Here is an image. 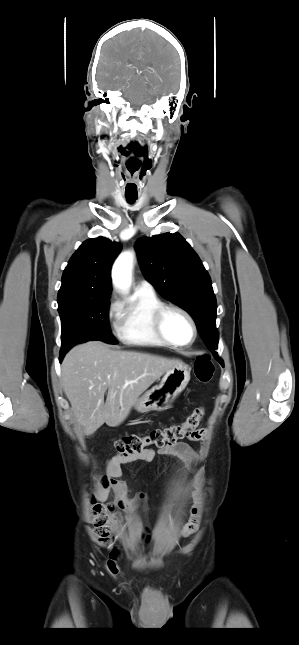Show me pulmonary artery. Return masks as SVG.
<instances>
[{
  "instance_id": "pulmonary-artery-1",
  "label": "pulmonary artery",
  "mask_w": 299,
  "mask_h": 645,
  "mask_svg": "<svg viewBox=\"0 0 299 645\" xmlns=\"http://www.w3.org/2000/svg\"><path fill=\"white\" fill-rule=\"evenodd\" d=\"M135 290L146 292V293H154L153 285L146 280H142L138 282L135 286Z\"/></svg>"
}]
</instances>
